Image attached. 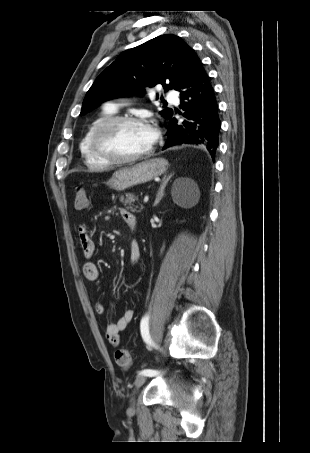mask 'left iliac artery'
I'll return each instance as SVG.
<instances>
[{
    "instance_id": "left-iliac-artery-1",
    "label": "left iliac artery",
    "mask_w": 310,
    "mask_h": 453,
    "mask_svg": "<svg viewBox=\"0 0 310 453\" xmlns=\"http://www.w3.org/2000/svg\"><path fill=\"white\" fill-rule=\"evenodd\" d=\"M148 323H149V316L146 315L142 318L141 320V324H140V329H141V335H142V338L144 339V341L150 345V346H154L152 340H151V337H150V334H149V326H148ZM140 374H143L145 376H157L160 374V371L158 370H153V369H144L140 372Z\"/></svg>"
}]
</instances>
